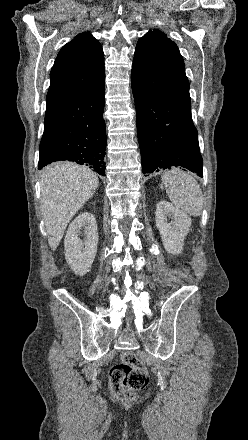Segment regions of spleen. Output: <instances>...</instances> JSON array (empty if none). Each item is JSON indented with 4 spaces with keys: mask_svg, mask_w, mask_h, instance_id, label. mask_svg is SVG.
Instances as JSON below:
<instances>
[{
    "mask_svg": "<svg viewBox=\"0 0 248 440\" xmlns=\"http://www.w3.org/2000/svg\"><path fill=\"white\" fill-rule=\"evenodd\" d=\"M161 188H165L170 201L192 216H200L203 209V194L198 182L179 169L166 171L161 176Z\"/></svg>",
    "mask_w": 248,
    "mask_h": 440,
    "instance_id": "3e777b00",
    "label": "spleen"
}]
</instances>
